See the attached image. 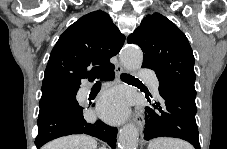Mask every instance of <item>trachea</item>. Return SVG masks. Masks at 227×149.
<instances>
[{
  "label": "trachea",
  "mask_w": 227,
  "mask_h": 149,
  "mask_svg": "<svg viewBox=\"0 0 227 149\" xmlns=\"http://www.w3.org/2000/svg\"><path fill=\"white\" fill-rule=\"evenodd\" d=\"M121 79H122L123 81H126V82H138V83H141L140 80H138V79L135 78L134 76L129 75V74H126V73L121 74ZM98 83H99V82H98Z\"/></svg>",
  "instance_id": "1"
}]
</instances>
